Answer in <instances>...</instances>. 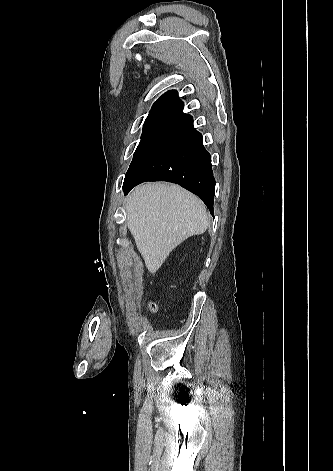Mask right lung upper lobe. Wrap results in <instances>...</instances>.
Returning <instances> with one entry per match:
<instances>
[{
  "label": "right lung upper lobe",
  "instance_id": "right-lung-upper-lobe-1",
  "mask_svg": "<svg viewBox=\"0 0 333 471\" xmlns=\"http://www.w3.org/2000/svg\"><path fill=\"white\" fill-rule=\"evenodd\" d=\"M184 103L179 99L176 90L163 94L152 106L148 118H161L174 121L181 120L186 114L183 113Z\"/></svg>",
  "mask_w": 333,
  "mask_h": 471
}]
</instances>
